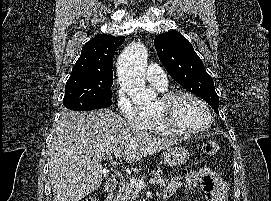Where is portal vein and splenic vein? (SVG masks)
I'll return each instance as SVG.
<instances>
[{
	"label": "portal vein and splenic vein",
	"instance_id": "obj_1",
	"mask_svg": "<svg viewBox=\"0 0 271 201\" xmlns=\"http://www.w3.org/2000/svg\"><path fill=\"white\" fill-rule=\"evenodd\" d=\"M120 154H121V148H117L115 151H114V161H113V163H117V159L120 157ZM113 154H110V155H108V156H112ZM127 178L130 180V182L134 185V186H136V187H138V188H144L145 187V183L142 181V180H139V179H137V178H134V177H129L128 175H127ZM149 183L150 184H155L156 183V181H155V179H150L149 180Z\"/></svg>",
	"mask_w": 271,
	"mask_h": 201
}]
</instances>
